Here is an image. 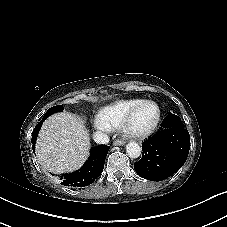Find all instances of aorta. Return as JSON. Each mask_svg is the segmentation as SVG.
<instances>
[{"label": "aorta", "instance_id": "762f6f07", "mask_svg": "<svg viewBox=\"0 0 227 227\" xmlns=\"http://www.w3.org/2000/svg\"><path fill=\"white\" fill-rule=\"evenodd\" d=\"M141 147L136 142H129L126 145V152L130 158H138L141 155Z\"/></svg>", "mask_w": 227, "mask_h": 227}]
</instances>
